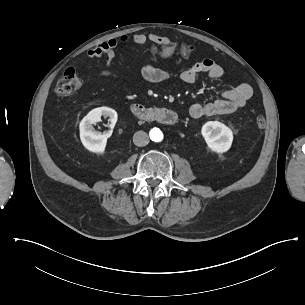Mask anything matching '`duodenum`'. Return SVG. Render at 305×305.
<instances>
[{
	"label": "duodenum",
	"mask_w": 305,
	"mask_h": 305,
	"mask_svg": "<svg viewBox=\"0 0 305 305\" xmlns=\"http://www.w3.org/2000/svg\"><path fill=\"white\" fill-rule=\"evenodd\" d=\"M131 113L139 120L172 126L177 121V114L166 107L146 106L140 103L130 105Z\"/></svg>",
	"instance_id": "410a0bca"
}]
</instances>
